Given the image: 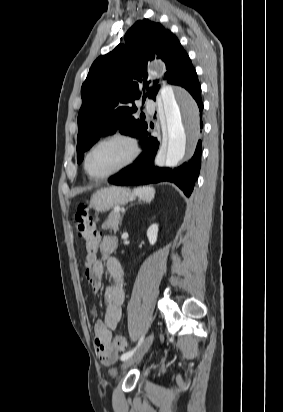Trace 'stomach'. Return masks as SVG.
Listing matches in <instances>:
<instances>
[{
    "instance_id": "0dacf381",
    "label": "stomach",
    "mask_w": 283,
    "mask_h": 412,
    "mask_svg": "<svg viewBox=\"0 0 283 412\" xmlns=\"http://www.w3.org/2000/svg\"><path fill=\"white\" fill-rule=\"evenodd\" d=\"M130 189L124 187H105L97 190L90 199V206L97 212H107L115 206L124 205L134 199Z\"/></svg>"
}]
</instances>
